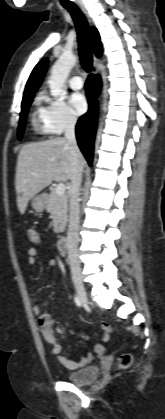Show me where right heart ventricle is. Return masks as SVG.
Listing matches in <instances>:
<instances>
[{
	"instance_id": "1",
	"label": "right heart ventricle",
	"mask_w": 165,
	"mask_h": 419,
	"mask_svg": "<svg viewBox=\"0 0 165 419\" xmlns=\"http://www.w3.org/2000/svg\"><path fill=\"white\" fill-rule=\"evenodd\" d=\"M33 121H34V123H37V122L40 121V118H39V110H38V112H36L34 114Z\"/></svg>"
}]
</instances>
